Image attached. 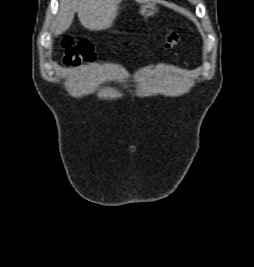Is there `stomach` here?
I'll return each mask as SVG.
<instances>
[{
    "label": "stomach",
    "mask_w": 254,
    "mask_h": 267,
    "mask_svg": "<svg viewBox=\"0 0 254 267\" xmlns=\"http://www.w3.org/2000/svg\"><path fill=\"white\" fill-rule=\"evenodd\" d=\"M157 7L155 4L151 2H146L143 5H141L139 9V13L144 16L145 18L153 16L157 12Z\"/></svg>",
    "instance_id": "0dacf381"
}]
</instances>
